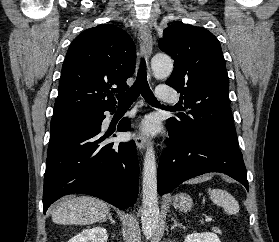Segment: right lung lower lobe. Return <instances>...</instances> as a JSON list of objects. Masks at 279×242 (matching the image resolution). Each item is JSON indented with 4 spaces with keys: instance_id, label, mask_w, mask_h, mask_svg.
<instances>
[{
    "instance_id": "obj_1",
    "label": "right lung lower lobe",
    "mask_w": 279,
    "mask_h": 242,
    "mask_svg": "<svg viewBox=\"0 0 279 242\" xmlns=\"http://www.w3.org/2000/svg\"><path fill=\"white\" fill-rule=\"evenodd\" d=\"M103 113H91L85 126L50 137L44 176V213L57 199L72 193L92 195L124 209L135 203L139 178L136 145L134 141L107 142L109 135L101 133ZM117 129L129 130V119H122Z\"/></svg>"
}]
</instances>
